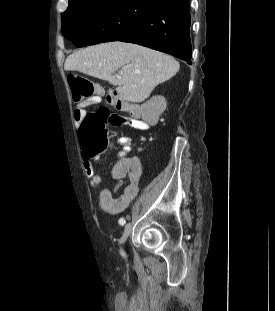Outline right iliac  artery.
Instances as JSON below:
<instances>
[{"label":"right iliac artery","instance_id":"right-iliac-artery-1","mask_svg":"<svg viewBox=\"0 0 275 311\" xmlns=\"http://www.w3.org/2000/svg\"><path fill=\"white\" fill-rule=\"evenodd\" d=\"M125 222H126V221H125V219H124V218H120V219H119V224H120V225H124V224H125Z\"/></svg>","mask_w":275,"mask_h":311}]
</instances>
